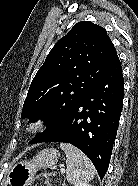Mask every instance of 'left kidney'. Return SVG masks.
I'll return each instance as SVG.
<instances>
[{"instance_id":"left-kidney-1","label":"left kidney","mask_w":138,"mask_h":186,"mask_svg":"<svg viewBox=\"0 0 138 186\" xmlns=\"http://www.w3.org/2000/svg\"><path fill=\"white\" fill-rule=\"evenodd\" d=\"M75 186H92V185L89 183L83 182V183H78Z\"/></svg>"}]
</instances>
